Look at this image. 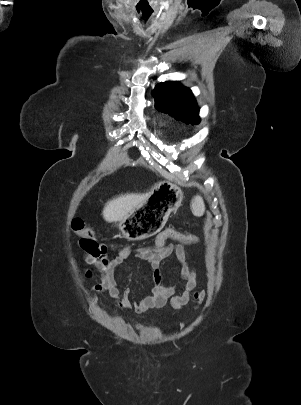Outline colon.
<instances>
[{"instance_id":"colon-1","label":"colon","mask_w":301,"mask_h":405,"mask_svg":"<svg viewBox=\"0 0 301 405\" xmlns=\"http://www.w3.org/2000/svg\"><path fill=\"white\" fill-rule=\"evenodd\" d=\"M72 231L81 237L82 245L90 251L94 256H99L106 252V246L99 244L94 238V232L91 228L86 227L82 220H74L71 224ZM175 224H168L165 226L164 232L167 236L172 237L174 243L182 247H192L199 241L195 233H183L176 230Z\"/></svg>"}]
</instances>
